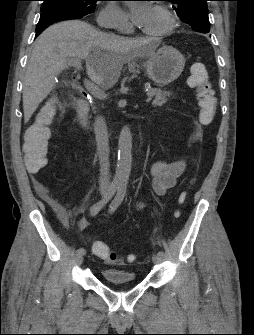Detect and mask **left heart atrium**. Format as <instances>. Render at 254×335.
<instances>
[{
  "instance_id": "left-heart-atrium-1",
  "label": "left heart atrium",
  "mask_w": 254,
  "mask_h": 335,
  "mask_svg": "<svg viewBox=\"0 0 254 335\" xmlns=\"http://www.w3.org/2000/svg\"><path fill=\"white\" fill-rule=\"evenodd\" d=\"M153 12V7L150 3L145 1H138L129 4V16L132 22L140 27L144 28L149 21L151 14Z\"/></svg>"
}]
</instances>
